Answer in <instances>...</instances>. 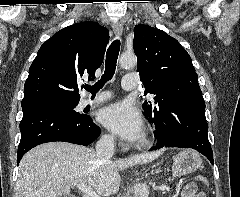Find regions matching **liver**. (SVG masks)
Instances as JSON below:
<instances>
[{
  "label": "liver",
  "instance_id": "liver-1",
  "mask_svg": "<svg viewBox=\"0 0 240 197\" xmlns=\"http://www.w3.org/2000/svg\"><path fill=\"white\" fill-rule=\"evenodd\" d=\"M161 153H145L113 161L100 159L92 149L84 146L66 142L45 143L23 156L15 197H63L70 195V188L78 184L89 185L97 194L110 196L119 190V170L149 163Z\"/></svg>",
  "mask_w": 240,
  "mask_h": 197
}]
</instances>
